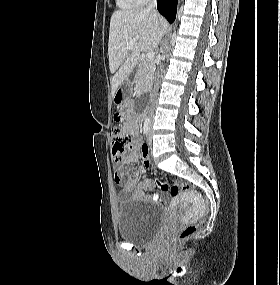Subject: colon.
<instances>
[{
  "label": "colon",
  "mask_w": 280,
  "mask_h": 285,
  "mask_svg": "<svg viewBox=\"0 0 280 285\" xmlns=\"http://www.w3.org/2000/svg\"><path fill=\"white\" fill-rule=\"evenodd\" d=\"M116 119H120V114L116 115ZM111 138L113 144V154L117 160H121L127 149L132 146V139L130 134L124 131L120 126L116 125L111 129ZM149 149L142 151L143 159H147ZM156 184L164 191L169 192L172 196H178L184 191H195L196 187L182 182V181H164L160 178L156 179ZM197 230L195 224L185 225L177 234L173 235L168 239V244L175 246L182 241L191 237Z\"/></svg>",
  "instance_id": "obj_1"
}]
</instances>
